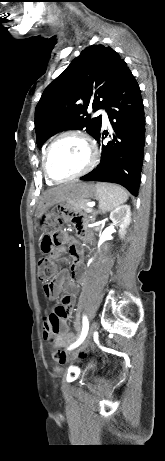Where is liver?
Listing matches in <instances>:
<instances>
[{"label":"liver","mask_w":165,"mask_h":461,"mask_svg":"<svg viewBox=\"0 0 165 461\" xmlns=\"http://www.w3.org/2000/svg\"><path fill=\"white\" fill-rule=\"evenodd\" d=\"M55 190H57V188H56V189H53V190H51L50 192H52V191H55Z\"/></svg>","instance_id":"1"}]
</instances>
